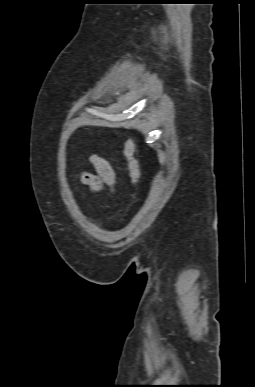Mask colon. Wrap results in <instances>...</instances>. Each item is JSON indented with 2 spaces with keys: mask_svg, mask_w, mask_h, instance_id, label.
<instances>
[{
  "mask_svg": "<svg viewBox=\"0 0 255 387\" xmlns=\"http://www.w3.org/2000/svg\"><path fill=\"white\" fill-rule=\"evenodd\" d=\"M135 152V143L131 139L127 140L124 146V155L126 158V166L129 174L130 186L132 188L136 186L141 175L139 162Z\"/></svg>",
  "mask_w": 255,
  "mask_h": 387,
  "instance_id": "1",
  "label": "colon"
}]
</instances>
